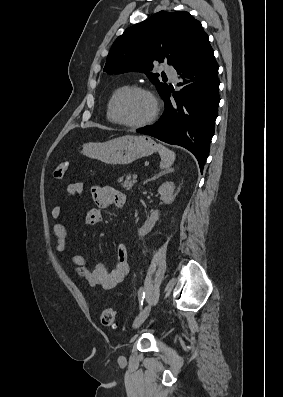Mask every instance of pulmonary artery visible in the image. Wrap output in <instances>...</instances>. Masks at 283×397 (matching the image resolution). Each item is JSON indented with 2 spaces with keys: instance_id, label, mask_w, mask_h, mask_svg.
I'll list each match as a JSON object with an SVG mask.
<instances>
[{
  "instance_id": "1",
  "label": "pulmonary artery",
  "mask_w": 283,
  "mask_h": 397,
  "mask_svg": "<svg viewBox=\"0 0 283 397\" xmlns=\"http://www.w3.org/2000/svg\"><path fill=\"white\" fill-rule=\"evenodd\" d=\"M166 73H167L173 80H175L176 77H177V72H176V70L173 69V68H167V69H166Z\"/></svg>"
}]
</instances>
